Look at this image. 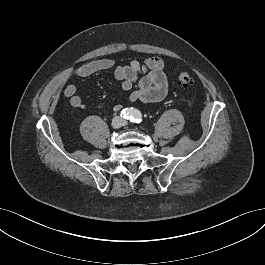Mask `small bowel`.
I'll use <instances>...</instances> for the list:
<instances>
[{
	"label": "small bowel",
	"mask_w": 265,
	"mask_h": 265,
	"mask_svg": "<svg viewBox=\"0 0 265 265\" xmlns=\"http://www.w3.org/2000/svg\"><path fill=\"white\" fill-rule=\"evenodd\" d=\"M112 68H114V62L111 59H99L78 66L73 70V74L77 77H88ZM164 69L165 63L161 58L151 57L143 62L133 60L127 65L115 67L114 76L121 82L122 91H130L131 102H159L168 92V80ZM63 94L69 99L72 107H82L83 99L73 84H66ZM121 108L120 104L114 106L115 111Z\"/></svg>",
	"instance_id": "small-bowel-1"
}]
</instances>
